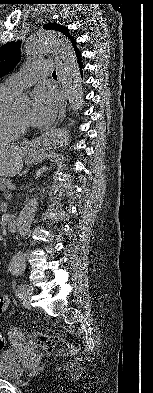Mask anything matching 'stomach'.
I'll use <instances>...</instances> for the list:
<instances>
[{"label":"stomach","mask_w":153,"mask_h":393,"mask_svg":"<svg viewBox=\"0 0 153 393\" xmlns=\"http://www.w3.org/2000/svg\"><path fill=\"white\" fill-rule=\"evenodd\" d=\"M24 157L28 164L33 165L47 159L49 155L43 149H40L34 145L32 147L24 148Z\"/></svg>","instance_id":"1"}]
</instances>
